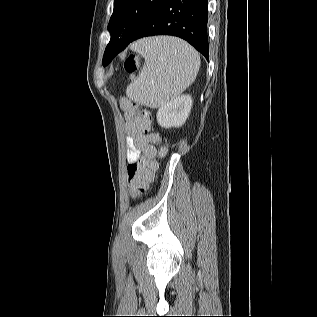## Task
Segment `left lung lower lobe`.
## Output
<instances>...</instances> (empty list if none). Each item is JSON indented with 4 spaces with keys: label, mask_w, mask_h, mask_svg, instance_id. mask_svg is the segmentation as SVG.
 <instances>
[{
    "label": "left lung lower lobe",
    "mask_w": 317,
    "mask_h": 317,
    "mask_svg": "<svg viewBox=\"0 0 317 317\" xmlns=\"http://www.w3.org/2000/svg\"><path fill=\"white\" fill-rule=\"evenodd\" d=\"M207 14V0H163L129 42H109L106 47L109 59L112 60L137 39L154 35H172L189 42L209 61Z\"/></svg>",
    "instance_id": "1"
}]
</instances>
